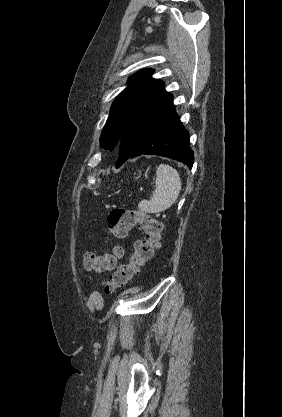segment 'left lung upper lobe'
Segmentation results:
<instances>
[{
	"label": "left lung upper lobe",
	"mask_w": 282,
	"mask_h": 417,
	"mask_svg": "<svg viewBox=\"0 0 282 417\" xmlns=\"http://www.w3.org/2000/svg\"><path fill=\"white\" fill-rule=\"evenodd\" d=\"M151 69L141 70L129 78L128 87L114 101L110 116L100 137L101 147L112 151L119 143L130 114L162 83L150 76Z\"/></svg>",
	"instance_id": "5c2ea615"
}]
</instances>
